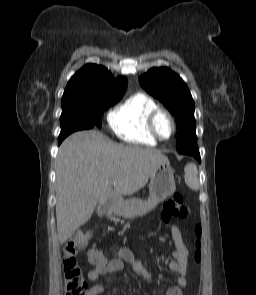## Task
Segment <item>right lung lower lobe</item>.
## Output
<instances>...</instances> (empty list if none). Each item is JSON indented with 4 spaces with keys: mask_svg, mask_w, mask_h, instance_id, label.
I'll list each match as a JSON object with an SVG mask.
<instances>
[{
    "mask_svg": "<svg viewBox=\"0 0 256 295\" xmlns=\"http://www.w3.org/2000/svg\"><path fill=\"white\" fill-rule=\"evenodd\" d=\"M86 125H91V121L89 119H86ZM64 138H58V144L62 142Z\"/></svg>",
    "mask_w": 256,
    "mask_h": 295,
    "instance_id": "1",
    "label": "right lung lower lobe"
}]
</instances>
